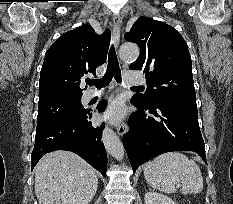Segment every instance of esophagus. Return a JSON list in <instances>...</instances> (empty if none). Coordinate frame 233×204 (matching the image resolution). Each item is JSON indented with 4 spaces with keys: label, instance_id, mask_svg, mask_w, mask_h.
<instances>
[{
    "label": "esophagus",
    "instance_id": "1",
    "mask_svg": "<svg viewBox=\"0 0 233 204\" xmlns=\"http://www.w3.org/2000/svg\"><path fill=\"white\" fill-rule=\"evenodd\" d=\"M121 26H122V19L119 15L113 16V39L115 47L118 48L120 43L121 37ZM128 131V126L125 122H122L117 126V133L122 136Z\"/></svg>",
    "mask_w": 233,
    "mask_h": 204
}]
</instances>
